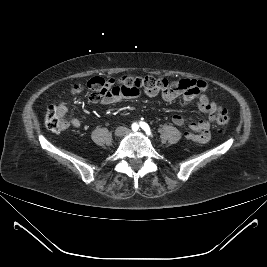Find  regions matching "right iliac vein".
<instances>
[{"label": "right iliac vein", "instance_id": "1", "mask_svg": "<svg viewBox=\"0 0 267 267\" xmlns=\"http://www.w3.org/2000/svg\"><path fill=\"white\" fill-rule=\"evenodd\" d=\"M127 132V129L125 127H118L115 130V136L122 137Z\"/></svg>", "mask_w": 267, "mask_h": 267}]
</instances>
